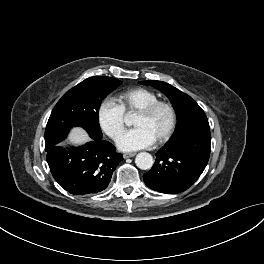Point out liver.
Returning <instances> with one entry per match:
<instances>
[{
  "mask_svg": "<svg viewBox=\"0 0 264 264\" xmlns=\"http://www.w3.org/2000/svg\"><path fill=\"white\" fill-rule=\"evenodd\" d=\"M90 140L91 139L87 132L80 127L73 128L68 136V143L76 145L87 143Z\"/></svg>",
  "mask_w": 264,
  "mask_h": 264,
  "instance_id": "obj_1",
  "label": "liver"
}]
</instances>
